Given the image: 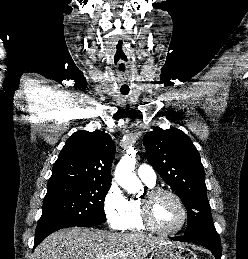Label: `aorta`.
I'll return each mask as SVG.
<instances>
[{"label": "aorta", "instance_id": "762f6f07", "mask_svg": "<svg viewBox=\"0 0 248 259\" xmlns=\"http://www.w3.org/2000/svg\"><path fill=\"white\" fill-rule=\"evenodd\" d=\"M136 159L134 156L122 157L115 169V180L128 193H138L143 188L139 178L134 173Z\"/></svg>", "mask_w": 248, "mask_h": 259}]
</instances>
